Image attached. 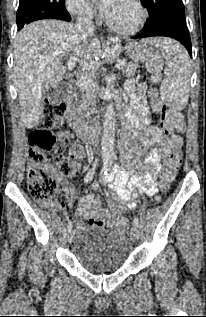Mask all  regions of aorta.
<instances>
[{"label": "aorta", "mask_w": 206, "mask_h": 317, "mask_svg": "<svg viewBox=\"0 0 206 317\" xmlns=\"http://www.w3.org/2000/svg\"><path fill=\"white\" fill-rule=\"evenodd\" d=\"M115 111L113 103H109L103 123L102 136V160L104 166H111L113 163L115 145Z\"/></svg>", "instance_id": "obj_1"}]
</instances>
